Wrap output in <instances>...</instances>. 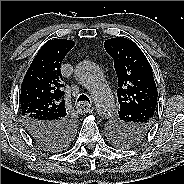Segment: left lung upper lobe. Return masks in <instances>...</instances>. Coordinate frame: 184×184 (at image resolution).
<instances>
[{
  "instance_id": "5c2ea615",
  "label": "left lung upper lobe",
  "mask_w": 184,
  "mask_h": 184,
  "mask_svg": "<svg viewBox=\"0 0 184 184\" xmlns=\"http://www.w3.org/2000/svg\"><path fill=\"white\" fill-rule=\"evenodd\" d=\"M118 77V117L109 125L110 139L120 147L138 143L149 131L157 103L151 66L140 48L123 37L104 42Z\"/></svg>"
}]
</instances>
